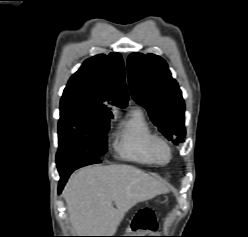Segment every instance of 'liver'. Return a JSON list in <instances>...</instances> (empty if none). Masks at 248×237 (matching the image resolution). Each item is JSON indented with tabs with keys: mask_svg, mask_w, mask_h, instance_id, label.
Instances as JSON below:
<instances>
[{
	"mask_svg": "<svg viewBox=\"0 0 248 237\" xmlns=\"http://www.w3.org/2000/svg\"><path fill=\"white\" fill-rule=\"evenodd\" d=\"M166 191L158 179L118 164L80 169L70 177L63 196L77 236H113L130 208Z\"/></svg>",
	"mask_w": 248,
	"mask_h": 237,
	"instance_id": "obj_1",
	"label": "liver"
}]
</instances>
